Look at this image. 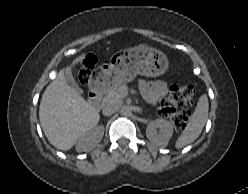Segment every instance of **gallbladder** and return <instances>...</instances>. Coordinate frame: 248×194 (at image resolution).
I'll return each mask as SVG.
<instances>
[{"mask_svg":"<svg viewBox=\"0 0 248 194\" xmlns=\"http://www.w3.org/2000/svg\"><path fill=\"white\" fill-rule=\"evenodd\" d=\"M65 74H66V79H67L68 83L72 86V88L78 92H81L82 90L79 88L78 84L74 80V77L72 76L70 67H67L65 69Z\"/></svg>","mask_w":248,"mask_h":194,"instance_id":"1","label":"gallbladder"}]
</instances>
